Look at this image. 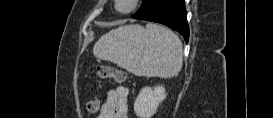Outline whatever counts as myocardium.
Listing matches in <instances>:
<instances>
[{
  "mask_svg": "<svg viewBox=\"0 0 273 118\" xmlns=\"http://www.w3.org/2000/svg\"><path fill=\"white\" fill-rule=\"evenodd\" d=\"M138 0H116L115 9L121 13H130L136 9Z\"/></svg>",
  "mask_w": 273,
  "mask_h": 118,
  "instance_id": "myocardium-1",
  "label": "myocardium"
}]
</instances>
